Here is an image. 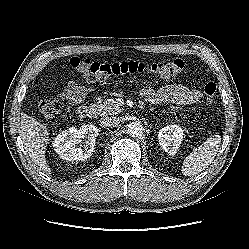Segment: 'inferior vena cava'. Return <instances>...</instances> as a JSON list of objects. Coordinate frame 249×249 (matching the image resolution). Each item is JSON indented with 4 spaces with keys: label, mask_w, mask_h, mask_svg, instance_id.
I'll list each match as a JSON object with an SVG mask.
<instances>
[{
    "label": "inferior vena cava",
    "mask_w": 249,
    "mask_h": 249,
    "mask_svg": "<svg viewBox=\"0 0 249 249\" xmlns=\"http://www.w3.org/2000/svg\"><path fill=\"white\" fill-rule=\"evenodd\" d=\"M102 125L105 127H115L119 124V119L115 117H106L101 121Z\"/></svg>",
    "instance_id": "obj_1"
}]
</instances>
